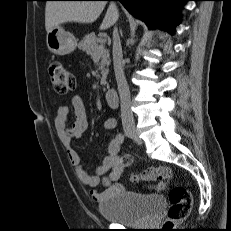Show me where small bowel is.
Returning a JSON list of instances; mask_svg holds the SVG:
<instances>
[{
	"label": "small bowel",
	"instance_id": "1",
	"mask_svg": "<svg viewBox=\"0 0 231 231\" xmlns=\"http://www.w3.org/2000/svg\"><path fill=\"white\" fill-rule=\"evenodd\" d=\"M71 111H73L74 120L69 125ZM54 124L67 159L74 167L76 177L81 184L92 189L90 195L93 201L100 203L113 196L124 194L127 191L126 186L120 182L126 165L120 154L121 143L117 135L110 138L107 146V155L102 163L95 168L94 173L88 172L83 167L78 153L72 147V141L81 139L88 126L86 106L80 96H74L70 105L59 106ZM115 127L116 120L114 118L109 117L104 121L106 130L112 131ZM161 170L164 173V180L171 178L172 172L168 168H161ZM164 180L153 185L151 190L155 193L162 192L166 186ZM100 183L105 187L104 191L96 189Z\"/></svg>",
	"mask_w": 231,
	"mask_h": 231
}]
</instances>
